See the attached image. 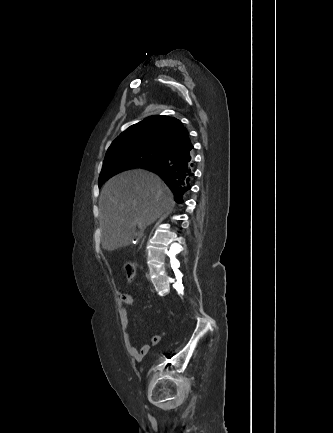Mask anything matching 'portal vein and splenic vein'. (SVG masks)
<instances>
[{
	"label": "portal vein and splenic vein",
	"instance_id": "1",
	"mask_svg": "<svg viewBox=\"0 0 333 433\" xmlns=\"http://www.w3.org/2000/svg\"><path fill=\"white\" fill-rule=\"evenodd\" d=\"M135 224L141 225V223H139L138 220H135Z\"/></svg>",
	"mask_w": 333,
	"mask_h": 433
}]
</instances>
